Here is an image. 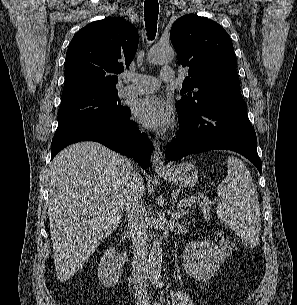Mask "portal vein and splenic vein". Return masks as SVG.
<instances>
[{"mask_svg":"<svg viewBox=\"0 0 297 305\" xmlns=\"http://www.w3.org/2000/svg\"><path fill=\"white\" fill-rule=\"evenodd\" d=\"M193 196L189 197L188 199H184L180 202V205H182V203H187V202H192L193 201Z\"/></svg>","mask_w":297,"mask_h":305,"instance_id":"portal-vein-and-splenic-vein-1","label":"portal vein and splenic vein"}]
</instances>
